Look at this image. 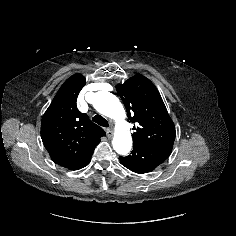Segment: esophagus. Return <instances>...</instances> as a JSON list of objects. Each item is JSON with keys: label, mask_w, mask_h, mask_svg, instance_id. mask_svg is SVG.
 <instances>
[{"label": "esophagus", "mask_w": 236, "mask_h": 236, "mask_svg": "<svg viewBox=\"0 0 236 236\" xmlns=\"http://www.w3.org/2000/svg\"><path fill=\"white\" fill-rule=\"evenodd\" d=\"M113 133H114V131H113L112 128H108V129H107V136H108V137H111V136L113 135Z\"/></svg>", "instance_id": "esophagus-1"}]
</instances>
